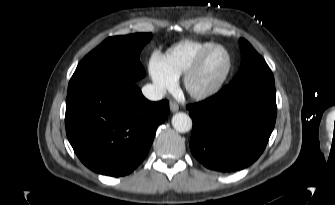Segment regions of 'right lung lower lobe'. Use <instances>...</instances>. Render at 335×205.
Instances as JSON below:
<instances>
[{"label": "right lung lower lobe", "mask_w": 335, "mask_h": 205, "mask_svg": "<svg viewBox=\"0 0 335 205\" xmlns=\"http://www.w3.org/2000/svg\"><path fill=\"white\" fill-rule=\"evenodd\" d=\"M168 113L167 100H147L134 83L97 80L68 90L66 133L89 169L124 176L144 160Z\"/></svg>", "instance_id": "obj_1"}]
</instances>
